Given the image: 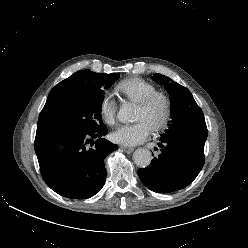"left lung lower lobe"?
Instances as JSON below:
<instances>
[{"label": "left lung lower lobe", "mask_w": 248, "mask_h": 248, "mask_svg": "<svg viewBox=\"0 0 248 248\" xmlns=\"http://www.w3.org/2000/svg\"><path fill=\"white\" fill-rule=\"evenodd\" d=\"M158 146L161 154L150 166L138 170L143 184L157 193L174 192L191 184L204 165V145L173 137L161 140Z\"/></svg>", "instance_id": "obj_1"}]
</instances>
